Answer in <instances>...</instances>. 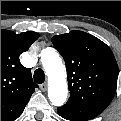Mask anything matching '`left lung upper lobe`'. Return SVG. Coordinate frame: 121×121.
<instances>
[{
  "mask_svg": "<svg viewBox=\"0 0 121 121\" xmlns=\"http://www.w3.org/2000/svg\"><path fill=\"white\" fill-rule=\"evenodd\" d=\"M52 42L65 60L70 90L69 100L58 112L77 121L95 118L116 92L118 67L112 51L82 31L54 36Z\"/></svg>",
  "mask_w": 121,
  "mask_h": 121,
  "instance_id": "5c2ea615",
  "label": "left lung upper lobe"
}]
</instances>
